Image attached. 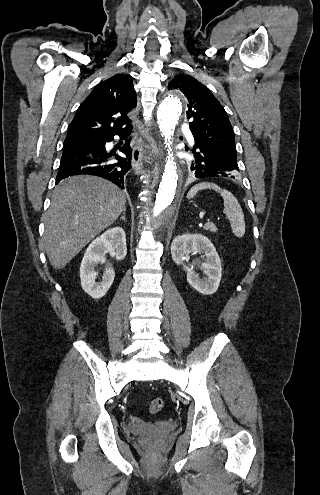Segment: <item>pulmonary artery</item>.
<instances>
[{
    "instance_id": "1",
    "label": "pulmonary artery",
    "mask_w": 320,
    "mask_h": 495,
    "mask_svg": "<svg viewBox=\"0 0 320 495\" xmlns=\"http://www.w3.org/2000/svg\"><path fill=\"white\" fill-rule=\"evenodd\" d=\"M187 138H188V140H189L190 143H194V138H193V136L191 134H189L187 136Z\"/></svg>"
}]
</instances>
